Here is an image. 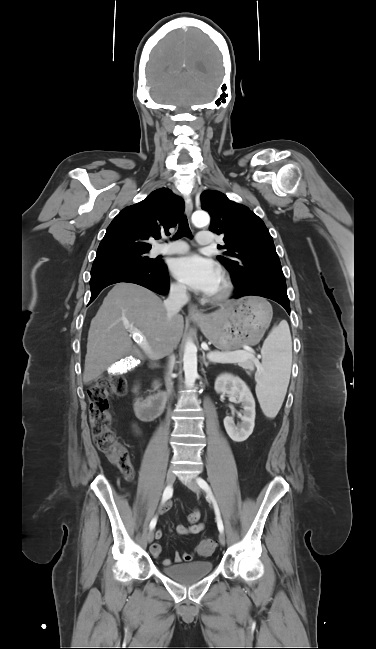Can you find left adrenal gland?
<instances>
[{
  "instance_id": "1",
  "label": "left adrenal gland",
  "mask_w": 376,
  "mask_h": 649,
  "mask_svg": "<svg viewBox=\"0 0 376 649\" xmlns=\"http://www.w3.org/2000/svg\"><path fill=\"white\" fill-rule=\"evenodd\" d=\"M203 364L205 365V367L209 366V362L206 361V358H205L204 355H203Z\"/></svg>"
}]
</instances>
